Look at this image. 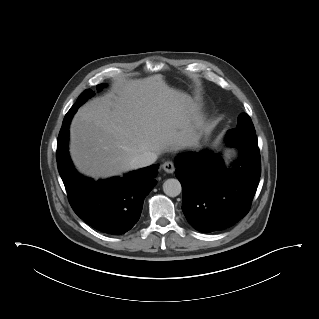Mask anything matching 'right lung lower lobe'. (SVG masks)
Here are the masks:
<instances>
[{
    "label": "right lung lower lobe",
    "instance_id": "obj_1",
    "mask_svg": "<svg viewBox=\"0 0 319 319\" xmlns=\"http://www.w3.org/2000/svg\"><path fill=\"white\" fill-rule=\"evenodd\" d=\"M71 119L66 126L62 124L56 153L59 174L69 202L75 213L98 231L112 235L124 234L140 218L144 198L156 184L153 177L158 165L131 172L122 178L98 182L85 178L76 172L68 154Z\"/></svg>",
    "mask_w": 319,
    "mask_h": 319
}]
</instances>
